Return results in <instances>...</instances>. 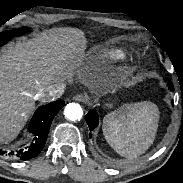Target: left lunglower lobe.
Listing matches in <instances>:
<instances>
[{
    "label": "left lung lower lobe",
    "mask_w": 183,
    "mask_h": 183,
    "mask_svg": "<svg viewBox=\"0 0 183 183\" xmlns=\"http://www.w3.org/2000/svg\"><path fill=\"white\" fill-rule=\"evenodd\" d=\"M168 86L169 88L173 89V84L172 82H168ZM86 122L89 126L90 131H92L94 128H96L99 124V117L96 111H90L87 115H86Z\"/></svg>",
    "instance_id": "obj_1"
}]
</instances>
